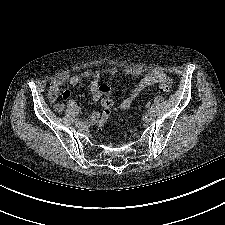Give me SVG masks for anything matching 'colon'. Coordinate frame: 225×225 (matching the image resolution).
<instances>
[{"instance_id":"obj_1","label":"colon","mask_w":225,"mask_h":225,"mask_svg":"<svg viewBox=\"0 0 225 225\" xmlns=\"http://www.w3.org/2000/svg\"><path fill=\"white\" fill-rule=\"evenodd\" d=\"M158 88L163 93L169 92V87L166 84H160ZM111 111H112V101L110 98H105L102 101V113L95 121V125L99 130L102 129L109 120Z\"/></svg>"}]
</instances>
